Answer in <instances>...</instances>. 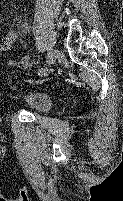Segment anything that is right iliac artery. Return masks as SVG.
<instances>
[{"label":"right iliac artery","mask_w":123,"mask_h":201,"mask_svg":"<svg viewBox=\"0 0 123 201\" xmlns=\"http://www.w3.org/2000/svg\"><path fill=\"white\" fill-rule=\"evenodd\" d=\"M23 26L25 27V29H27V24H26V23H23ZM48 73H49V69H47V68L41 69V70L38 72V74H39L40 76H46V75H48Z\"/></svg>","instance_id":"right-iliac-artery-1"}]
</instances>
